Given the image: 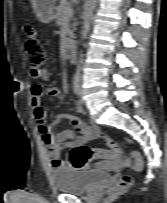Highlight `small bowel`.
Segmentation results:
<instances>
[{
    "instance_id": "c3829d8e",
    "label": "small bowel",
    "mask_w": 167,
    "mask_h": 203,
    "mask_svg": "<svg viewBox=\"0 0 167 203\" xmlns=\"http://www.w3.org/2000/svg\"><path fill=\"white\" fill-rule=\"evenodd\" d=\"M31 77L35 80L40 79L47 81L50 77L49 70L43 69L38 73L31 71ZM30 91L34 117L38 124L42 140L49 149V157L52 166L56 169L72 168L71 164L61 159V151L65 148H73L78 145H83L88 141L98 138L101 135L99 127L96 125L89 126L81 119L63 113L54 115L52 121L47 122L45 119V111L42 106V98L46 95L53 99H57L60 97V90L56 87L45 88L38 83H34L31 86ZM75 107L79 112L84 111L83 106L80 103H76ZM64 119H68L73 128L78 131L80 135H76L71 129L56 132L55 127ZM106 142L113 149H118L113 139L107 137ZM92 158L101 159L94 164V167L97 170L116 172L123 167V165L113 160L109 156L95 155Z\"/></svg>"
}]
</instances>
